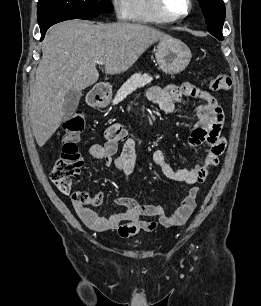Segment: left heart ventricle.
Listing matches in <instances>:
<instances>
[{
    "instance_id": "obj_1",
    "label": "left heart ventricle",
    "mask_w": 261,
    "mask_h": 306,
    "mask_svg": "<svg viewBox=\"0 0 261 306\" xmlns=\"http://www.w3.org/2000/svg\"><path fill=\"white\" fill-rule=\"evenodd\" d=\"M168 11L173 15L183 14L187 10L186 0H164Z\"/></svg>"
}]
</instances>
